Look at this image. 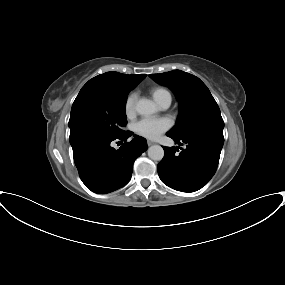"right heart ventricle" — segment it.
I'll return each mask as SVG.
<instances>
[{
  "label": "right heart ventricle",
  "mask_w": 285,
  "mask_h": 285,
  "mask_svg": "<svg viewBox=\"0 0 285 285\" xmlns=\"http://www.w3.org/2000/svg\"><path fill=\"white\" fill-rule=\"evenodd\" d=\"M151 94L152 97L154 98V100L159 104L160 102H162L164 99L166 98H170L171 99V94L170 92L163 88V87H156L153 88L151 90Z\"/></svg>",
  "instance_id": "e07e8e85"
}]
</instances>
